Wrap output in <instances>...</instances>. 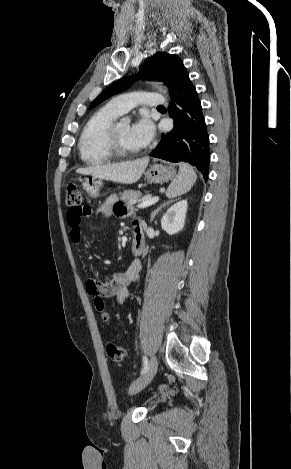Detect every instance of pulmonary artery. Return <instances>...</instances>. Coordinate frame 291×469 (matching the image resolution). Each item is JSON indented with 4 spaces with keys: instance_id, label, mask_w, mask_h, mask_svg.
I'll use <instances>...</instances> for the list:
<instances>
[{
    "instance_id": "pulmonary-artery-1",
    "label": "pulmonary artery",
    "mask_w": 291,
    "mask_h": 469,
    "mask_svg": "<svg viewBox=\"0 0 291 469\" xmlns=\"http://www.w3.org/2000/svg\"><path fill=\"white\" fill-rule=\"evenodd\" d=\"M110 103L121 113H126L137 106L158 107L166 103V99L156 92H133L114 97Z\"/></svg>"
}]
</instances>
